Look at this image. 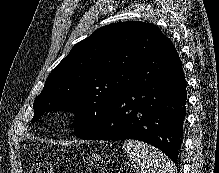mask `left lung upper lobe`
<instances>
[{
  "label": "left lung upper lobe",
  "mask_w": 219,
  "mask_h": 173,
  "mask_svg": "<svg viewBox=\"0 0 219 173\" xmlns=\"http://www.w3.org/2000/svg\"><path fill=\"white\" fill-rule=\"evenodd\" d=\"M167 39L153 24L114 23L77 43L46 79L34 100L37 121L48 111L75 114L74 134L92 132L135 84V72Z\"/></svg>",
  "instance_id": "5c2ea615"
}]
</instances>
